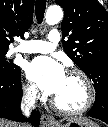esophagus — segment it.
Listing matches in <instances>:
<instances>
[{
	"mask_svg": "<svg viewBox=\"0 0 108 127\" xmlns=\"http://www.w3.org/2000/svg\"><path fill=\"white\" fill-rule=\"evenodd\" d=\"M42 127H54L56 125L55 119L48 114H43L41 117Z\"/></svg>",
	"mask_w": 108,
	"mask_h": 127,
	"instance_id": "obj_1",
	"label": "esophagus"
}]
</instances>
